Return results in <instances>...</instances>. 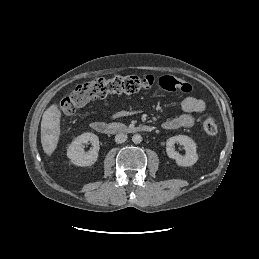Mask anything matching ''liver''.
I'll use <instances>...</instances> for the list:
<instances>
[{"label":"liver","instance_id":"liver-1","mask_svg":"<svg viewBox=\"0 0 259 259\" xmlns=\"http://www.w3.org/2000/svg\"><path fill=\"white\" fill-rule=\"evenodd\" d=\"M61 112L56 103L43 114L41 121V143L44 152L51 156L57 148L60 137Z\"/></svg>","mask_w":259,"mask_h":259}]
</instances>
